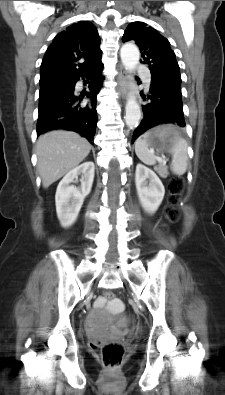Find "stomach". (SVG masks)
<instances>
[{"instance_id":"obj_1","label":"stomach","mask_w":225,"mask_h":395,"mask_svg":"<svg viewBox=\"0 0 225 395\" xmlns=\"http://www.w3.org/2000/svg\"><path fill=\"white\" fill-rule=\"evenodd\" d=\"M180 137L173 125L158 126L149 131L148 143L151 149L163 150L171 147Z\"/></svg>"}]
</instances>
